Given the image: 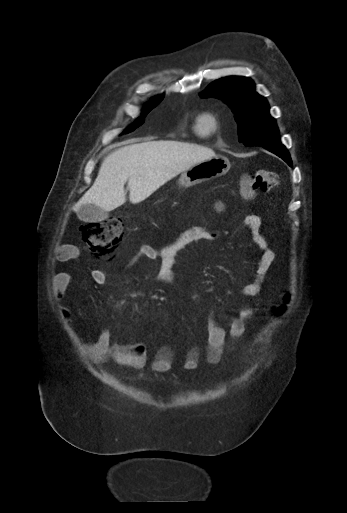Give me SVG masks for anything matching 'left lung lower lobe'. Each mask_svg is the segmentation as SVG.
<instances>
[{"instance_id": "obj_1", "label": "left lung lower lobe", "mask_w": 347, "mask_h": 513, "mask_svg": "<svg viewBox=\"0 0 347 513\" xmlns=\"http://www.w3.org/2000/svg\"><path fill=\"white\" fill-rule=\"evenodd\" d=\"M263 148L271 151L272 153L276 154L277 156L281 157L284 161H286L289 166H292V161L290 158L289 153L287 152V149L282 144H277L274 146H262Z\"/></svg>"}]
</instances>
